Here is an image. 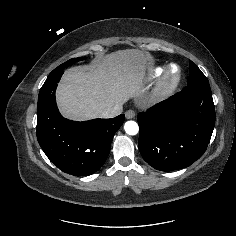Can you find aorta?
Segmentation results:
<instances>
[{
	"label": "aorta",
	"instance_id": "aorta-1",
	"mask_svg": "<svg viewBox=\"0 0 236 236\" xmlns=\"http://www.w3.org/2000/svg\"><path fill=\"white\" fill-rule=\"evenodd\" d=\"M124 130L129 135H136L139 132L138 124L135 121H127Z\"/></svg>",
	"mask_w": 236,
	"mask_h": 236
}]
</instances>
